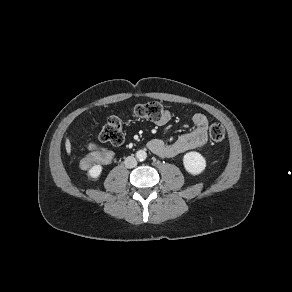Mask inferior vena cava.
Here are the masks:
<instances>
[{
	"label": "inferior vena cava",
	"mask_w": 292,
	"mask_h": 292,
	"mask_svg": "<svg viewBox=\"0 0 292 292\" xmlns=\"http://www.w3.org/2000/svg\"><path fill=\"white\" fill-rule=\"evenodd\" d=\"M126 168H134L137 165V160L133 156L126 157L125 161Z\"/></svg>",
	"instance_id": "602c4592"
}]
</instances>
